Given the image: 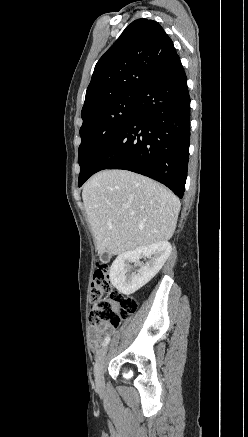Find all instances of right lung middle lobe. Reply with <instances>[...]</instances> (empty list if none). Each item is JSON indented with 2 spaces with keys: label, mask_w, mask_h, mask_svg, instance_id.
Wrapping results in <instances>:
<instances>
[{
  "label": "right lung middle lobe",
  "mask_w": 248,
  "mask_h": 437,
  "mask_svg": "<svg viewBox=\"0 0 248 437\" xmlns=\"http://www.w3.org/2000/svg\"><path fill=\"white\" fill-rule=\"evenodd\" d=\"M137 95L119 97L94 110L83 119L78 161L79 180L90 170L95 157L115 136L132 113Z\"/></svg>",
  "instance_id": "dd1d6c3e"
}]
</instances>
